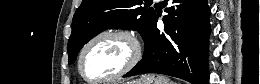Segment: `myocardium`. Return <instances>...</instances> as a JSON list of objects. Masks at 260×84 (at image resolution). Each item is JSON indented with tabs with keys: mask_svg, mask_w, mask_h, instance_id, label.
Listing matches in <instances>:
<instances>
[{
	"mask_svg": "<svg viewBox=\"0 0 260 84\" xmlns=\"http://www.w3.org/2000/svg\"><path fill=\"white\" fill-rule=\"evenodd\" d=\"M104 37H116V38L125 40L131 47V55H130L129 59L127 60V62L125 63V65L116 73H114L110 76L101 78L99 80H90L83 73V70H82L83 58H84L87 50L96 41H98L99 39L104 38ZM141 57H142L141 42H140L138 36L134 32H132L128 29H122V28L105 29V30L98 32L94 36H92L82 47V49L79 53V56H78V60H77V71H78L79 76L88 83H91V84L106 83V82L116 80V79L124 76L128 72H130L140 62Z\"/></svg>",
	"mask_w": 260,
	"mask_h": 84,
	"instance_id": "myocardium-1",
	"label": "myocardium"
}]
</instances>
